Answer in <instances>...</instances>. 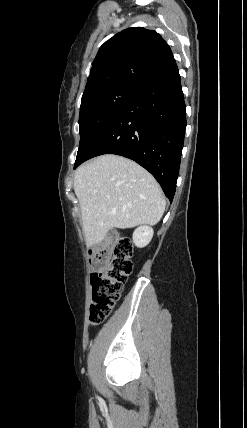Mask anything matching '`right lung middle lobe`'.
Returning a JSON list of instances; mask_svg holds the SVG:
<instances>
[{
    "instance_id": "obj_1",
    "label": "right lung middle lobe",
    "mask_w": 247,
    "mask_h": 428,
    "mask_svg": "<svg viewBox=\"0 0 247 428\" xmlns=\"http://www.w3.org/2000/svg\"><path fill=\"white\" fill-rule=\"evenodd\" d=\"M139 92L127 86H114L82 96L79 116L80 144L76 159L83 155L100 131Z\"/></svg>"
}]
</instances>
